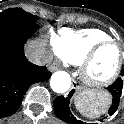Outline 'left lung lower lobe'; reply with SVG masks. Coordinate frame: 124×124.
Listing matches in <instances>:
<instances>
[{
  "instance_id": "0a47b994",
  "label": "left lung lower lobe",
  "mask_w": 124,
  "mask_h": 124,
  "mask_svg": "<svg viewBox=\"0 0 124 124\" xmlns=\"http://www.w3.org/2000/svg\"><path fill=\"white\" fill-rule=\"evenodd\" d=\"M122 88H123V80L121 77L118 78L112 85H110L107 88V91L110 93L112 97V103L108 110L109 115H113L118 109L120 97L122 94ZM74 92L75 90L73 89L71 90V92L67 97H64V96L56 97L53 102L54 111L59 119H61L62 121L68 124H88L80 120H77L70 111V107H69L70 99L74 94Z\"/></svg>"
}]
</instances>
